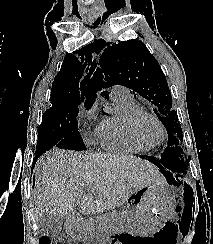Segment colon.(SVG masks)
Returning a JSON list of instances; mask_svg holds the SVG:
<instances>
[{
    "instance_id": "5ec220e1",
    "label": "colon",
    "mask_w": 213,
    "mask_h": 244,
    "mask_svg": "<svg viewBox=\"0 0 213 244\" xmlns=\"http://www.w3.org/2000/svg\"><path fill=\"white\" fill-rule=\"evenodd\" d=\"M40 244H51V240H50L49 237H47V236H43V237H41V239H40Z\"/></svg>"
}]
</instances>
